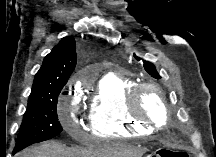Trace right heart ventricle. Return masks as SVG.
Returning <instances> with one entry per match:
<instances>
[{
    "instance_id": "right-heart-ventricle-1",
    "label": "right heart ventricle",
    "mask_w": 216,
    "mask_h": 157,
    "mask_svg": "<svg viewBox=\"0 0 216 157\" xmlns=\"http://www.w3.org/2000/svg\"><path fill=\"white\" fill-rule=\"evenodd\" d=\"M137 84L121 73L105 74L90 102V131L97 137H130L150 132L153 127L133 118L127 109L129 92Z\"/></svg>"
}]
</instances>
